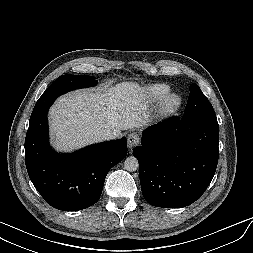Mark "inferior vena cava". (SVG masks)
Instances as JSON below:
<instances>
[{
	"instance_id": "obj_1",
	"label": "inferior vena cava",
	"mask_w": 253,
	"mask_h": 253,
	"mask_svg": "<svg viewBox=\"0 0 253 253\" xmlns=\"http://www.w3.org/2000/svg\"><path fill=\"white\" fill-rule=\"evenodd\" d=\"M97 135L101 140H110L115 138V134L109 129L100 130Z\"/></svg>"
}]
</instances>
